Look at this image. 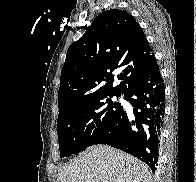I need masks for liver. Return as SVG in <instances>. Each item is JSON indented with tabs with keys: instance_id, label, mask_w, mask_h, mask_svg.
I'll return each instance as SVG.
<instances>
[{
	"instance_id": "obj_1",
	"label": "liver",
	"mask_w": 196,
	"mask_h": 182,
	"mask_svg": "<svg viewBox=\"0 0 196 182\" xmlns=\"http://www.w3.org/2000/svg\"><path fill=\"white\" fill-rule=\"evenodd\" d=\"M57 182H152L147 165L108 145H93L65 165Z\"/></svg>"
}]
</instances>
